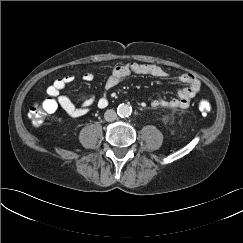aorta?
<instances>
[{
	"label": "aorta",
	"mask_w": 243,
	"mask_h": 243,
	"mask_svg": "<svg viewBox=\"0 0 243 243\" xmlns=\"http://www.w3.org/2000/svg\"><path fill=\"white\" fill-rule=\"evenodd\" d=\"M132 107L127 104H120L117 108V113L120 117H128L131 115Z\"/></svg>",
	"instance_id": "obj_1"
}]
</instances>
